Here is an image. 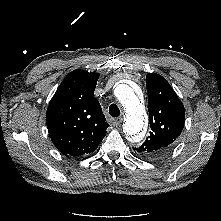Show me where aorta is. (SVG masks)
Listing matches in <instances>:
<instances>
[{"instance_id": "obj_1", "label": "aorta", "mask_w": 221, "mask_h": 221, "mask_svg": "<svg viewBox=\"0 0 221 221\" xmlns=\"http://www.w3.org/2000/svg\"><path fill=\"white\" fill-rule=\"evenodd\" d=\"M115 95L125 113L124 134L131 142H140L145 135L148 121L144 106L132 87L127 84H119L115 88Z\"/></svg>"}]
</instances>
